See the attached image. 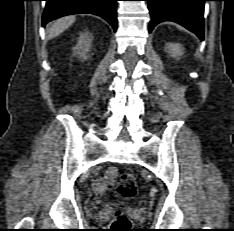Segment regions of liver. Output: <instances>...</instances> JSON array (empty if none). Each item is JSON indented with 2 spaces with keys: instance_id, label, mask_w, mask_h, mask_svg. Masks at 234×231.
<instances>
[{
  "instance_id": "6515ba94",
  "label": "liver",
  "mask_w": 234,
  "mask_h": 231,
  "mask_svg": "<svg viewBox=\"0 0 234 231\" xmlns=\"http://www.w3.org/2000/svg\"><path fill=\"white\" fill-rule=\"evenodd\" d=\"M75 21V16L57 19L47 30V38L53 39L68 29Z\"/></svg>"
}]
</instances>
